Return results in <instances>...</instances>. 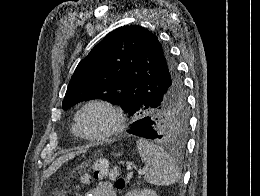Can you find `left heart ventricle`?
Returning a JSON list of instances; mask_svg holds the SVG:
<instances>
[{
    "mask_svg": "<svg viewBox=\"0 0 260 196\" xmlns=\"http://www.w3.org/2000/svg\"><path fill=\"white\" fill-rule=\"evenodd\" d=\"M115 123L111 110L103 105H92L81 115L79 127L86 135H99L109 130Z\"/></svg>",
    "mask_w": 260,
    "mask_h": 196,
    "instance_id": "1",
    "label": "left heart ventricle"
}]
</instances>
